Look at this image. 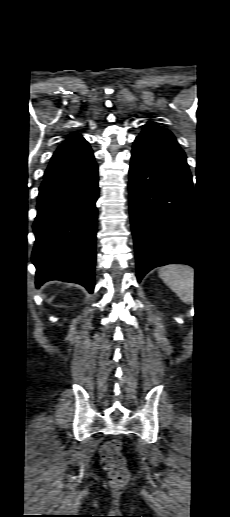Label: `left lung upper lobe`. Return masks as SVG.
<instances>
[{"label":"left lung upper lobe","instance_id":"left-lung-upper-lobe-1","mask_svg":"<svg viewBox=\"0 0 230 517\" xmlns=\"http://www.w3.org/2000/svg\"><path fill=\"white\" fill-rule=\"evenodd\" d=\"M135 141L167 149L182 157H186L184 151L178 146L173 134L170 131L159 127L154 122H148L145 127L142 128V132L136 137Z\"/></svg>","mask_w":230,"mask_h":517}]
</instances>
